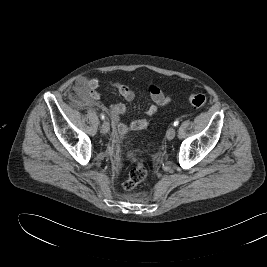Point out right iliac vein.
Wrapping results in <instances>:
<instances>
[{
    "label": "right iliac vein",
    "instance_id": "63e3f726",
    "mask_svg": "<svg viewBox=\"0 0 267 267\" xmlns=\"http://www.w3.org/2000/svg\"><path fill=\"white\" fill-rule=\"evenodd\" d=\"M109 130H110V124H109V122H108V121H104V122L102 123V125H101V132H102L103 134H106V133L109 132Z\"/></svg>",
    "mask_w": 267,
    "mask_h": 267
}]
</instances>
